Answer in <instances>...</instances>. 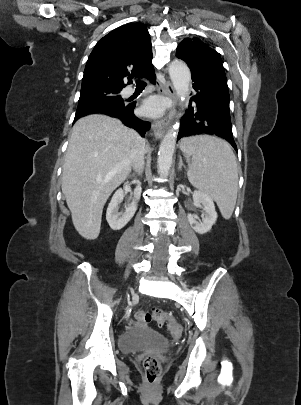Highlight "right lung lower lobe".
I'll return each instance as SVG.
<instances>
[{
	"instance_id": "obj_1",
	"label": "right lung lower lobe",
	"mask_w": 301,
	"mask_h": 405,
	"mask_svg": "<svg viewBox=\"0 0 301 405\" xmlns=\"http://www.w3.org/2000/svg\"><path fill=\"white\" fill-rule=\"evenodd\" d=\"M145 77L150 80L151 83H155V74L154 69L149 71ZM135 104H126L124 106H116V107H101L94 109L92 111H88L82 114H76L74 121L82 116H86L89 114H105L111 117H116L120 119L126 126L134 128L136 131L140 132L142 136H145L147 130L150 129L151 124L149 122L142 121L138 119L134 113Z\"/></svg>"
}]
</instances>
